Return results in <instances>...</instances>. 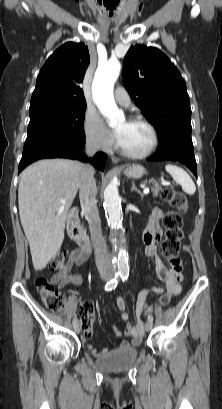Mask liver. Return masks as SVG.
Returning <instances> with one entry per match:
<instances>
[{
  "mask_svg": "<svg viewBox=\"0 0 222 409\" xmlns=\"http://www.w3.org/2000/svg\"><path fill=\"white\" fill-rule=\"evenodd\" d=\"M82 166L69 159H42L21 173L19 215L36 271L44 269L61 248Z\"/></svg>",
  "mask_w": 222,
  "mask_h": 409,
  "instance_id": "6515ba94",
  "label": "liver"
}]
</instances>
